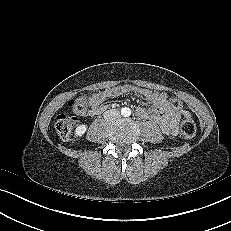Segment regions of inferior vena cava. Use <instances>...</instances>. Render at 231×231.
I'll list each match as a JSON object with an SVG mask.
<instances>
[{
  "instance_id": "602c4592",
  "label": "inferior vena cava",
  "mask_w": 231,
  "mask_h": 231,
  "mask_svg": "<svg viewBox=\"0 0 231 231\" xmlns=\"http://www.w3.org/2000/svg\"><path fill=\"white\" fill-rule=\"evenodd\" d=\"M120 117V112L117 109H110L104 113V118L106 120H113Z\"/></svg>"
}]
</instances>
